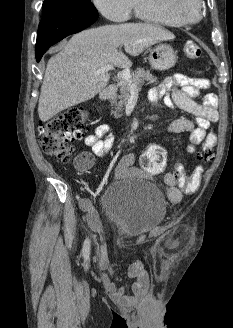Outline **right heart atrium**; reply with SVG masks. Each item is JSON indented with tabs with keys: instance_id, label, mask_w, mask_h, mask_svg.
Returning a JSON list of instances; mask_svg holds the SVG:
<instances>
[{
	"instance_id": "right-heart-atrium-1",
	"label": "right heart atrium",
	"mask_w": 233,
	"mask_h": 328,
	"mask_svg": "<svg viewBox=\"0 0 233 328\" xmlns=\"http://www.w3.org/2000/svg\"><path fill=\"white\" fill-rule=\"evenodd\" d=\"M98 12L113 22H124L131 16L134 0H91Z\"/></svg>"
}]
</instances>
